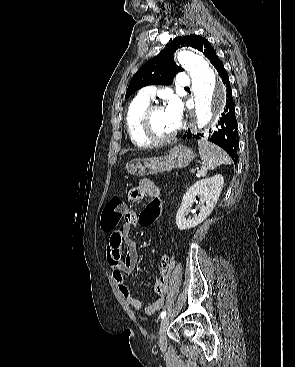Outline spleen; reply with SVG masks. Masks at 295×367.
I'll return each instance as SVG.
<instances>
[{
  "label": "spleen",
  "mask_w": 295,
  "mask_h": 367,
  "mask_svg": "<svg viewBox=\"0 0 295 367\" xmlns=\"http://www.w3.org/2000/svg\"><path fill=\"white\" fill-rule=\"evenodd\" d=\"M198 147L199 155L203 163V173H206L207 170H213L222 164H231L228 154L215 144H212L206 140H200L198 141Z\"/></svg>",
  "instance_id": "spleen-1"
}]
</instances>
